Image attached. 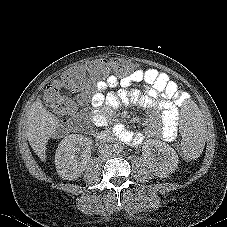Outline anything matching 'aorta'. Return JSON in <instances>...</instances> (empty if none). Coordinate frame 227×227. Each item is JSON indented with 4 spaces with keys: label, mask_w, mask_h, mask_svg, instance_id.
I'll use <instances>...</instances> for the list:
<instances>
[{
    "label": "aorta",
    "mask_w": 227,
    "mask_h": 227,
    "mask_svg": "<svg viewBox=\"0 0 227 227\" xmlns=\"http://www.w3.org/2000/svg\"><path fill=\"white\" fill-rule=\"evenodd\" d=\"M112 150H113L114 153L119 154L120 152H122L123 147H122L121 144L116 143V144L113 145Z\"/></svg>",
    "instance_id": "762f6f07"
}]
</instances>
